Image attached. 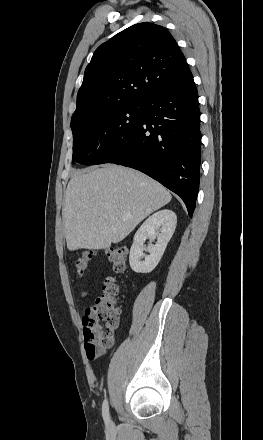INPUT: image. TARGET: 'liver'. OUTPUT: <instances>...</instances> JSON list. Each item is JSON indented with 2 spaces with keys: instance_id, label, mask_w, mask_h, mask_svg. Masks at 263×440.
Returning <instances> with one entry per match:
<instances>
[{
  "instance_id": "liver-1",
  "label": "liver",
  "mask_w": 263,
  "mask_h": 440,
  "mask_svg": "<svg viewBox=\"0 0 263 440\" xmlns=\"http://www.w3.org/2000/svg\"><path fill=\"white\" fill-rule=\"evenodd\" d=\"M171 199L160 183L127 167L76 171L62 211L67 248L107 249Z\"/></svg>"
}]
</instances>
